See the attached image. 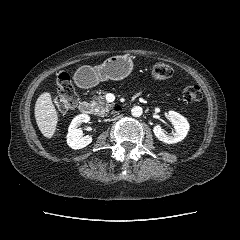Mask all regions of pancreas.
Instances as JSON below:
<instances>
[{
    "label": "pancreas",
    "instance_id": "obj_1",
    "mask_svg": "<svg viewBox=\"0 0 240 240\" xmlns=\"http://www.w3.org/2000/svg\"><path fill=\"white\" fill-rule=\"evenodd\" d=\"M103 92H99L98 97H94V100L92 101L93 108L95 110V113L99 116L105 115L109 110H111L114 106L113 103H108L105 101L104 96H102Z\"/></svg>",
    "mask_w": 240,
    "mask_h": 240
}]
</instances>
